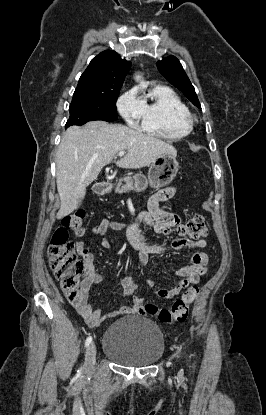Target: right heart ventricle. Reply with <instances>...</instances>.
Returning a JSON list of instances; mask_svg holds the SVG:
<instances>
[{
  "mask_svg": "<svg viewBox=\"0 0 266 415\" xmlns=\"http://www.w3.org/2000/svg\"><path fill=\"white\" fill-rule=\"evenodd\" d=\"M142 101L143 131L169 140L180 139L191 132L192 121L189 109L171 88L155 86L148 91Z\"/></svg>",
  "mask_w": 266,
  "mask_h": 415,
  "instance_id": "right-heart-ventricle-1",
  "label": "right heart ventricle"
}]
</instances>
